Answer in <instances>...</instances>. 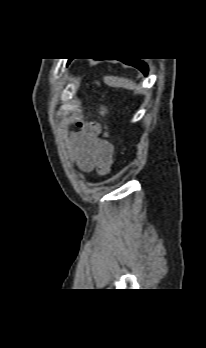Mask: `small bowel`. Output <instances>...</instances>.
I'll return each mask as SVG.
<instances>
[{
  "label": "small bowel",
  "mask_w": 206,
  "mask_h": 348,
  "mask_svg": "<svg viewBox=\"0 0 206 348\" xmlns=\"http://www.w3.org/2000/svg\"><path fill=\"white\" fill-rule=\"evenodd\" d=\"M75 150L74 156L84 171L96 170L106 175L113 162V145L93 134L74 133L71 135Z\"/></svg>",
  "instance_id": "c3829d8e"
}]
</instances>
